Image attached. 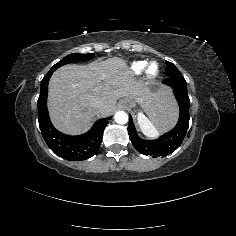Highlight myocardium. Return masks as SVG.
<instances>
[{"mask_svg":"<svg viewBox=\"0 0 236 236\" xmlns=\"http://www.w3.org/2000/svg\"><path fill=\"white\" fill-rule=\"evenodd\" d=\"M152 64H157L158 67H159V70H158V72H157L156 74H151V73L149 72V68H150V66H151ZM144 74H145V76H146L148 79H151V80L158 78V77L160 76V74H161V67H160V64H159L157 61H154V60L148 62V63L146 64V66H145Z\"/></svg>","mask_w":236,"mask_h":236,"instance_id":"obj_1","label":"myocardium"}]
</instances>
